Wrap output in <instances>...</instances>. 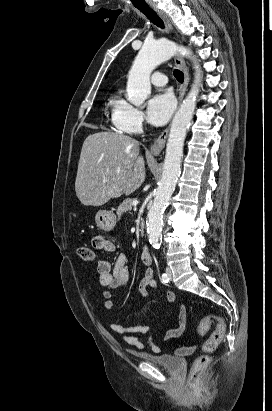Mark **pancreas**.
I'll return each mask as SVG.
<instances>
[{
  "instance_id": "obj_1",
  "label": "pancreas",
  "mask_w": 272,
  "mask_h": 411,
  "mask_svg": "<svg viewBox=\"0 0 272 411\" xmlns=\"http://www.w3.org/2000/svg\"><path fill=\"white\" fill-rule=\"evenodd\" d=\"M133 199H126L117 208V215L120 218L124 213L128 212L132 208Z\"/></svg>"
}]
</instances>
